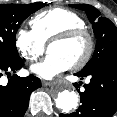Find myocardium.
Masks as SVG:
<instances>
[{
    "instance_id": "f54148a6",
    "label": "myocardium",
    "mask_w": 117,
    "mask_h": 117,
    "mask_svg": "<svg viewBox=\"0 0 117 117\" xmlns=\"http://www.w3.org/2000/svg\"><path fill=\"white\" fill-rule=\"evenodd\" d=\"M76 39H84L86 41V50L84 55L78 60L76 63L71 65L73 70H80L85 67L89 61L91 60L94 48H95V40L91 32L84 28H73L62 33L57 34L49 41L47 49H49L52 45L57 43H68L70 41Z\"/></svg>"
}]
</instances>
